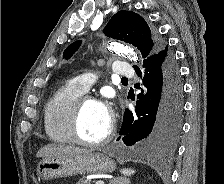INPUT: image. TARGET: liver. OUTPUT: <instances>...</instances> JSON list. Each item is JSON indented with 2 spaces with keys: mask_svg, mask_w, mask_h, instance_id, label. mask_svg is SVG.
<instances>
[{
  "mask_svg": "<svg viewBox=\"0 0 224 184\" xmlns=\"http://www.w3.org/2000/svg\"><path fill=\"white\" fill-rule=\"evenodd\" d=\"M90 152L87 149L74 147L70 145H57V144H48L42 147L36 154V157L40 158H56L63 156L76 155L80 153Z\"/></svg>",
  "mask_w": 224,
  "mask_h": 184,
  "instance_id": "obj_1",
  "label": "liver"
}]
</instances>
